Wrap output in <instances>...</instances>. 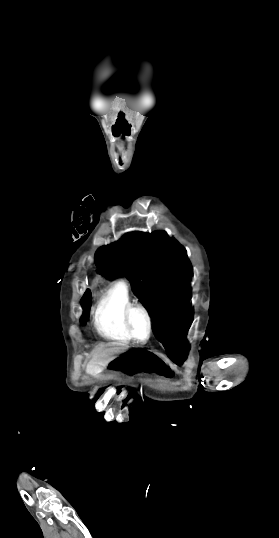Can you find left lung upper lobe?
<instances>
[{
  "mask_svg": "<svg viewBox=\"0 0 279 538\" xmlns=\"http://www.w3.org/2000/svg\"><path fill=\"white\" fill-rule=\"evenodd\" d=\"M98 272L107 278L126 276L134 294L151 314L153 332L187 333L192 321V267L183 246L164 231L131 232L95 254Z\"/></svg>",
  "mask_w": 279,
  "mask_h": 538,
  "instance_id": "1",
  "label": "left lung upper lobe"
}]
</instances>
